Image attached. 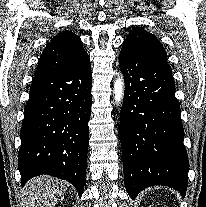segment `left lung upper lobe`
Returning a JSON list of instances; mask_svg holds the SVG:
<instances>
[{
  "instance_id": "left-lung-upper-lobe-1",
  "label": "left lung upper lobe",
  "mask_w": 206,
  "mask_h": 207,
  "mask_svg": "<svg viewBox=\"0 0 206 207\" xmlns=\"http://www.w3.org/2000/svg\"><path fill=\"white\" fill-rule=\"evenodd\" d=\"M123 48H130L141 55L167 63V54L155 35L141 27L133 28L123 42Z\"/></svg>"
}]
</instances>
